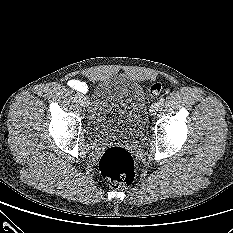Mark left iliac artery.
<instances>
[{
  "label": "left iliac artery",
  "mask_w": 233,
  "mask_h": 233,
  "mask_svg": "<svg viewBox=\"0 0 233 233\" xmlns=\"http://www.w3.org/2000/svg\"><path fill=\"white\" fill-rule=\"evenodd\" d=\"M164 102H165V99H164L163 97H161V98L159 99V104H160V105H163Z\"/></svg>",
  "instance_id": "44dca946"
}]
</instances>
